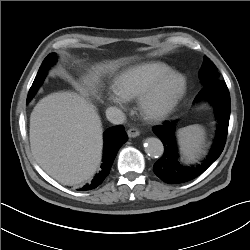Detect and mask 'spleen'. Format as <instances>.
Listing matches in <instances>:
<instances>
[{
	"instance_id": "spleen-1",
	"label": "spleen",
	"mask_w": 250,
	"mask_h": 250,
	"mask_svg": "<svg viewBox=\"0 0 250 250\" xmlns=\"http://www.w3.org/2000/svg\"><path fill=\"white\" fill-rule=\"evenodd\" d=\"M177 138L185 162L194 161L203 152L206 137L201 125L194 124L179 129Z\"/></svg>"
}]
</instances>
